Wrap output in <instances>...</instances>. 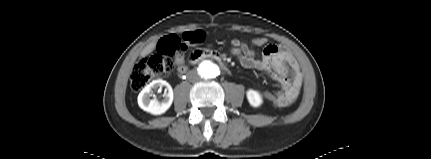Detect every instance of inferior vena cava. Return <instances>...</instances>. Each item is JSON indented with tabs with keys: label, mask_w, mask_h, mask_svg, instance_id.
Wrapping results in <instances>:
<instances>
[{
	"label": "inferior vena cava",
	"mask_w": 431,
	"mask_h": 159,
	"mask_svg": "<svg viewBox=\"0 0 431 159\" xmlns=\"http://www.w3.org/2000/svg\"><path fill=\"white\" fill-rule=\"evenodd\" d=\"M189 78H190V80H192V81H195V80H198V79H199L198 75H197L195 72H190V73H189Z\"/></svg>",
	"instance_id": "602c4592"
}]
</instances>
